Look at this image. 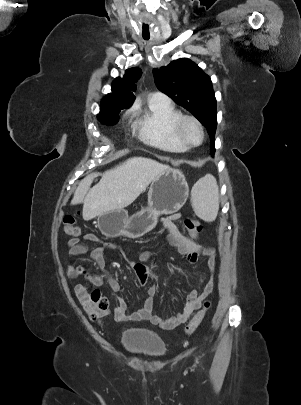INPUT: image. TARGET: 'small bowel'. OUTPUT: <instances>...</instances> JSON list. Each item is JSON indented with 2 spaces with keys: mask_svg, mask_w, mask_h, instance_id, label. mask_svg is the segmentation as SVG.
<instances>
[{
  "mask_svg": "<svg viewBox=\"0 0 301 405\" xmlns=\"http://www.w3.org/2000/svg\"><path fill=\"white\" fill-rule=\"evenodd\" d=\"M180 217V213L161 217L160 221L168 233L167 241L169 245L175 248L189 264H196L202 257H204L207 260L209 267L213 268L215 261V250L211 247L203 246L197 243L193 239L194 237L188 238L184 236L174 223ZM82 239L97 244L95 249L92 251L91 256L95 264L101 270V274L90 275V281L98 286L107 284L113 293H117L120 289V285L105 269V251L108 249H116L117 246L113 243L102 240L91 233L84 234ZM67 244L70 248L69 254L72 259L87 252V247L78 237L69 239ZM150 259L151 254L149 252H143L140 254V262L127 260L142 286L146 285L147 282L155 276V274L144 264V262H148ZM65 268L67 274L71 277L87 274L84 266L74 262L67 263ZM201 282V291L193 289L186 297L184 308L172 316L163 317L153 314V297L157 292L156 286L149 289L150 297L140 309L132 313H128L126 302L121 297H117V305L112 308L111 313L114 315L116 321H149L153 325H158L167 330L174 329L178 325L189 320L191 315L200 307L202 301L206 299L213 291V278L206 280V278L203 277ZM76 294L81 300L84 295V290L80 286H77Z\"/></svg>",
  "mask_w": 301,
  "mask_h": 405,
  "instance_id": "obj_1",
  "label": "small bowel"
}]
</instances>
